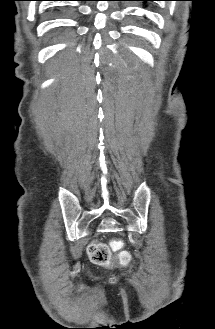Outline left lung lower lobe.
<instances>
[{
  "label": "left lung lower lobe",
  "instance_id": "0a47b994",
  "mask_svg": "<svg viewBox=\"0 0 215 329\" xmlns=\"http://www.w3.org/2000/svg\"><path fill=\"white\" fill-rule=\"evenodd\" d=\"M138 1L147 2V1H154V0H138Z\"/></svg>",
  "mask_w": 215,
  "mask_h": 329
}]
</instances>
